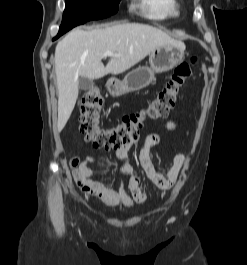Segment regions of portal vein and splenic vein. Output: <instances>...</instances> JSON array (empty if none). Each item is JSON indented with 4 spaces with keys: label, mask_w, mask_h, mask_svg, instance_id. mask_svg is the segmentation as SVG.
Segmentation results:
<instances>
[{
    "label": "portal vein and splenic vein",
    "mask_w": 247,
    "mask_h": 265,
    "mask_svg": "<svg viewBox=\"0 0 247 265\" xmlns=\"http://www.w3.org/2000/svg\"><path fill=\"white\" fill-rule=\"evenodd\" d=\"M114 52L112 51H106L103 56H113Z\"/></svg>",
    "instance_id": "18ae733b"
}]
</instances>
